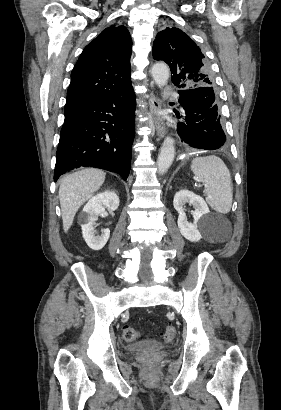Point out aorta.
Here are the masks:
<instances>
[{
  "mask_svg": "<svg viewBox=\"0 0 281 410\" xmlns=\"http://www.w3.org/2000/svg\"><path fill=\"white\" fill-rule=\"evenodd\" d=\"M151 74L157 86L163 87L167 84L170 76L169 67L165 63H155L151 69ZM174 157V140L171 137H166L157 160L159 174H164L170 168Z\"/></svg>",
  "mask_w": 281,
  "mask_h": 410,
  "instance_id": "aorta-1",
  "label": "aorta"
}]
</instances>
